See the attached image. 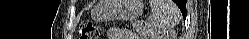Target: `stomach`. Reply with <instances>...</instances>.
Masks as SVG:
<instances>
[{
    "label": "stomach",
    "mask_w": 249,
    "mask_h": 39,
    "mask_svg": "<svg viewBox=\"0 0 249 39\" xmlns=\"http://www.w3.org/2000/svg\"><path fill=\"white\" fill-rule=\"evenodd\" d=\"M142 0H101L91 11L94 20H135L143 12Z\"/></svg>",
    "instance_id": "1"
}]
</instances>
